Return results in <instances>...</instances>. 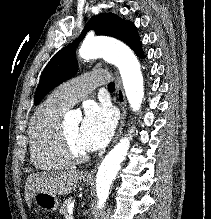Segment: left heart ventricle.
<instances>
[{
    "label": "left heart ventricle",
    "mask_w": 211,
    "mask_h": 219,
    "mask_svg": "<svg viewBox=\"0 0 211 219\" xmlns=\"http://www.w3.org/2000/svg\"><path fill=\"white\" fill-rule=\"evenodd\" d=\"M64 128L75 148L79 151L86 152L80 143V124L71 123L67 124Z\"/></svg>",
    "instance_id": "obj_1"
}]
</instances>
